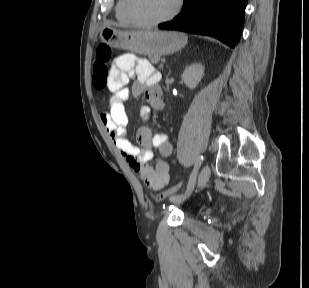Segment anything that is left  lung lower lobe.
Listing matches in <instances>:
<instances>
[{
  "instance_id": "obj_1",
  "label": "left lung lower lobe",
  "mask_w": 309,
  "mask_h": 288,
  "mask_svg": "<svg viewBox=\"0 0 309 288\" xmlns=\"http://www.w3.org/2000/svg\"><path fill=\"white\" fill-rule=\"evenodd\" d=\"M246 4L247 0H184L181 14L158 27L212 36L235 47L240 40Z\"/></svg>"
}]
</instances>
